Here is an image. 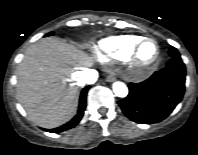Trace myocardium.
Returning <instances> with one entry per match:
<instances>
[{"mask_svg": "<svg viewBox=\"0 0 198 155\" xmlns=\"http://www.w3.org/2000/svg\"><path fill=\"white\" fill-rule=\"evenodd\" d=\"M146 43H151L154 45L155 47V53L153 55V57H151L148 60H144L143 58H141L140 56V50L142 48V46ZM160 57V49L159 46L157 45V43L152 40V39H146L143 40L141 42H138L135 47H134V64L136 67L140 68V69H148L151 68L152 66H154L157 61L159 60Z\"/></svg>", "mask_w": 198, "mask_h": 155, "instance_id": "obj_1", "label": "myocardium"}]
</instances>
